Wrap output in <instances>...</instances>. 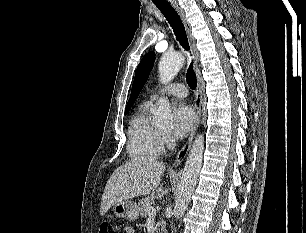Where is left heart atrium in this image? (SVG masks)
<instances>
[{"label": "left heart atrium", "instance_id": "1", "mask_svg": "<svg viewBox=\"0 0 306 233\" xmlns=\"http://www.w3.org/2000/svg\"><path fill=\"white\" fill-rule=\"evenodd\" d=\"M194 122L193 109L187 103H179L174 109L173 135L179 139L185 137L193 127Z\"/></svg>", "mask_w": 306, "mask_h": 233}]
</instances>
